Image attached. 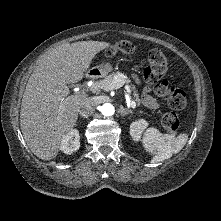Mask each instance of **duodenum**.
Segmentation results:
<instances>
[{
	"instance_id": "410a0bca",
	"label": "duodenum",
	"mask_w": 221,
	"mask_h": 221,
	"mask_svg": "<svg viewBox=\"0 0 221 221\" xmlns=\"http://www.w3.org/2000/svg\"><path fill=\"white\" fill-rule=\"evenodd\" d=\"M98 77V73L97 72H91L87 75L88 79H95Z\"/></svg>"
}]
</instances>
